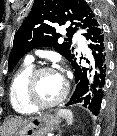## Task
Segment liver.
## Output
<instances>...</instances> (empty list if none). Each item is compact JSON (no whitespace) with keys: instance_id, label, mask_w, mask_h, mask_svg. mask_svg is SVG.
Listing matches in <instances>:
<instances>
[{"instance_id":"liver-1","label":"liver","mask_w":117,"mask_h":136,"mask_svg":"<svg viewBox=\"0 0 117 136\" xmlns=\"http://www.w3.org/2000/svg\"><path fill=\"white\" fill-rule=\"evenodd\" d=\"M28 121L29 120L22 119L20 117H12V118L8 119L3 124L2 135L3 136L13 135L19 128L26 125L28 123Z\"/></svg>"}]
</instances>
